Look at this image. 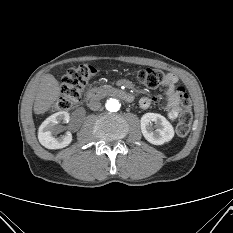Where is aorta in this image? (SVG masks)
Segmentation results:
<instances>
[{"label": "aorta", "instance_id": "1", "mask_svg": "<svg viewBox=\"0 0 233 233\" xmlns=\"http://www.w3.org/2000/svg\"><path fill=\"white\" fill-rule=\"evenodd\" d=\"M120 103L118 100L116 99H109L107 100L106 104H105V107L108 111H111V112H116L120 109Z\"/></svg>", "mask_w": 233, "mask_h": 233}]
</instances>
